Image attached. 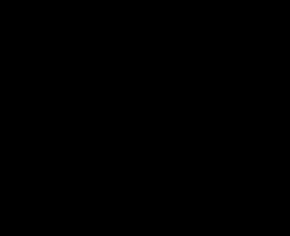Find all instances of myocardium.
Wrapping results in <instances>:
<instances>
[{
  "mask_svg": "<svg viewBox=\"0 0 290 236\" xmlns=\"http://www.w3.org/2000/svg\"><path fill=\"white\" fill-rule=\"evenodd\" d=\"M185 65H191L195 69L196 75H197V87H196L195 94L187 107H185L182 111L178 113L168 115L170 119H174V120L181 119L185 117L186 115H188L193 110V108L195 107L200 97V94L202 91V85H203V76H202V71L200 67L197 65V63L193 60H183L172 65V67L168 70V72L163 77V79L152 90V94H151V101L153 104H156L155 103L156 98L170 85L176 72Z\"/></svg>",
  "mask_w": 290,
  "mask_h": 236,
  "instance_id": "obj_1",
  "label": "myocardium"
}]
</instances>
